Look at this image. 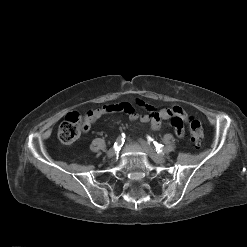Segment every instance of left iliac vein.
<instances>
[{
  "label": "left iliac vein",
  "mask_w": 247,
  "mask_h": 247,
  "mask_svg": "<svg viewBox=\"0 0 247 247\" xmlns=\"http://www.w3.org/2000/svg\"><path fill=\"white\" fill-rule=\"evenodd\" d=\"M139 142L142 144L143 148L145 149L146 153L151 157L153 161L158 164L165 163L166 158L161 155L157 154L150 145H148L144 140L140 139Z\"/></svg>",
  "instance_id": "1"
}]
</instances>
